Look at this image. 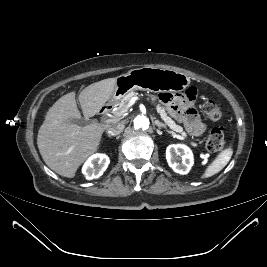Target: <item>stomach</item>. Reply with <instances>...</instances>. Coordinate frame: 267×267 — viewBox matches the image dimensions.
Wrapping results in <instances>:
<instances>
[{
    "label": "stomach",
    "instance_id": "obj_1",
    "mask_svg": "<svg viewBox=\"0 0 267 267\" xmlns=\"http://www.w3.org/2000/svg\"><path fill=\"white\" fill-rule=\"evenodd\" d=\"M189 84L190 78L182 72L155 67L135 68L116 78L111 101H119L133 90L178 92Z\"/></svg>",
    "mask_w": 267,
    "mask_h": 267
}]
</instances>
